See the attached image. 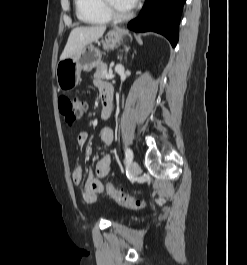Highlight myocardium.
<instances>
[{
	"mask_svg": "<svg viewBox=\"0 0 247 265\" xmlns=\"http://www.w3.org/2000/svg\"><path fill=\"white\" fill-rule=\"evenodd\" d=\"M103 8L107 15L112 20L116 21H124L132 16V10H128L126 12H119L110 2L109 0H103Z\"/></svg>",
	"mask_w": 247,
	"mask_h": 265,
	"instance_id": "myocardium-1",
	"label": "myocardium"
}]
</instances>
